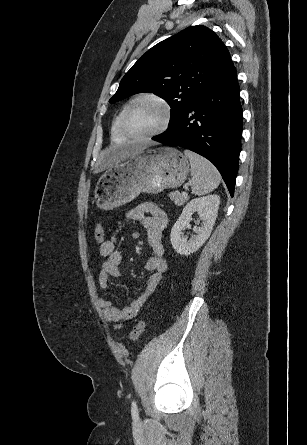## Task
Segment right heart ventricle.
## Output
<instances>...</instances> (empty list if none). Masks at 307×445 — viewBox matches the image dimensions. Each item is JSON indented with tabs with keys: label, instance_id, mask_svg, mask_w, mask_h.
I'll list each match as a JSON object with an SVG mask.
<instances>
[{
	"label": "right heart ventricle",
	"instance_id": "e07e8e85",
	"mask_svg": "<svg viewBox=\"0 0 307 445\" xmlns=\"http://www.w3.org/2000/svg\"><path fill=\"white\" fill-rule=\"evenodd\" d=\"M123 117L122 114H120L115 121L113 122L112 128H111V135L112 140L115 143V140H128V136L126 135L124 128H123Z\"/></svg>",
	"mask_w": 307,
	"mask_h": 445
}]
</instances>
